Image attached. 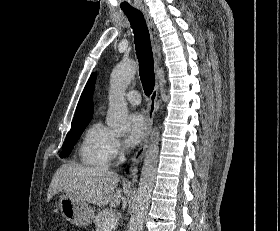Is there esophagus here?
I'll return each instance as SVG.
<instances>
[{"label": "esophagus", "instance_id": "obj_1", "mask_svg": "<svg viewBox=\"0 0 280 231\" xmlns=\"http://www.w3.org/2000/svg\"><path fill=\"white\" fill-rule=\"evenodd\" d=\"M140 10L142 11L144 17H145V21L148 27V31L150 33V42L152 45V52H153V56H154V64H155V68L159 69L160 65H161V52H160V44H159V38H158V31L157 28L154 24V20L151 17L149 10L147 7H140ZM159 83L156 82V85L154 87L153 92L150 95V100H149V104H148V109H147V129L145 132V136L138 148V150L135 152L133 158H132V170L134 173L137 172V168L138 165L141 163L143 156L146 152V148L148 146V142H149V137H150V133L152 131V127H153V122H154V116L156 111L158 110L159 104L157 101L158 98V92H159Z\"/></svg>", "mask_w": 280, "mask_h": 231}]
</instances>
